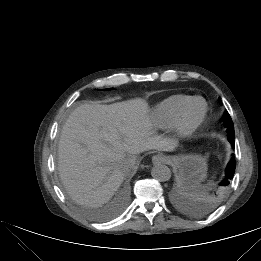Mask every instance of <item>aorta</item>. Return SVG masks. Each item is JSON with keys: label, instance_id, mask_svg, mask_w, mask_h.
<instances>
[{"label": "aorta", "instance_id": "aorta-1", "mask_svg": "<svg viewBox=\"0 0 261 261\" xmlns=\"http://www.w3.org/2000/svg\"><path fill=\"white\" fill-rule=\"evenodd\" d=\"M151 175L155 180L165 182L171 178V170L164 164H157L152 168Z\"/></svg>", "mask_w": 261, "mask_h": 261}]
</instances>
